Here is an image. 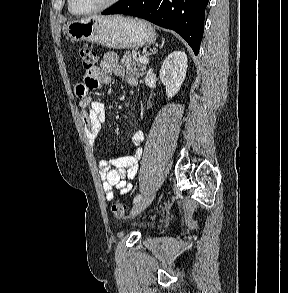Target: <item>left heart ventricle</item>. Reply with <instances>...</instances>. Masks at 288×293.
Masks as SVG:
<instances>
[{
    "instance_id": "left-heart-ventricle-1",
    "label": "left heart ventricle",
    "mask_w": 288,
    "mask_h": 293,
    "mask_svg": "<svg viewBox=\"0 0 288 293\" xmlns=\"http://www.w3.org/2000/svg\"><path fill=\"white\" fill-rule=\"evenodd\" d=\"M108 0H73V7L78 11H86L96 8Z\"/></svg>"
}]
</instances>
